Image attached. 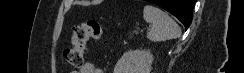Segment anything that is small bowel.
I'll return each instance as SVG.
<instances>
[{
  "label": "small bowel",
  "mask_w": 244,
  "mask_h": 73,
  "mask_svg": "<svg viewBox=\"0 0 244 73\" xmlns=\"http://www.w3.org/2000/svg\"><path fill=\"white\" fill-rule=\"evenodd\" d=\"M76 73H103V72L101 69L97 68L93 63L87 62Z\"/></svg>",
  "instance_id": "1"
}]
</instances>
